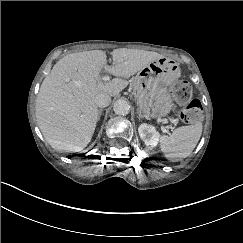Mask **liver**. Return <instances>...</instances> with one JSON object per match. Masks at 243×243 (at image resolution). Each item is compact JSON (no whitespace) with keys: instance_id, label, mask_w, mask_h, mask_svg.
<instances>
[{"instance_id":"1","label":"liver","mask_w":243,"mask_h":243,"mask_svg":"<svg viewBox=\"0 0 243 243\" xmlns=\"http://www.w3.org/2000/svg\"><path fill=\"white\" fill-rule=\"evenodd\" d=\"M113 65H106V53L92 50L61 58L44 78L35 105L37 124L55 150L80 152L91 141L99 109L94 100L106 92L118 95L126 81L150 62L164 57L146 50L118 48L111 53ZM102 69L117 78L103 83Z\"/></svg>"}]
</instances>
